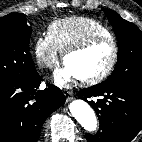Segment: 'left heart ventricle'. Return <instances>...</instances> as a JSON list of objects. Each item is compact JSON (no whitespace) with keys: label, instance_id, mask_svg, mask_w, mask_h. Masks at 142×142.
Here are the masks:
<instances>
[{"label":"left heart ventricle","instance_id":"b2bd125f","mask_svg":"<svg viewBox=\"0 0 142 142\" xmlns=\"http://www.w3.org/2000/svg\"><path fill=\"white\" fill-rule=\"evenodd\" d=\"M113 46L109 41H98L88 48L69 55L67 63L78 78H86L103 71L109 64Z\"/></svg>","mask_w":142,"mask_h":142}]
</instances>
